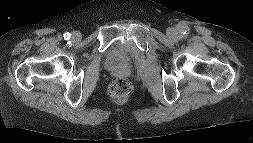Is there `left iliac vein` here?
<instances>
[{"label": "left iliac vein", "mask_w": 253, "mask_h": 143, "mask_svg": "<svg viewBox=\"0 0 253 143\" xmlns=\"http://www.w3.org/2000/svg\"><path fill=\"white\" fill-rule=\"evenodd\" d=\"M167 36L171 40H176L178 38V33L174 28H169L166 32Z\"/></svg>", "instance_id": "1"}]
</instances>
